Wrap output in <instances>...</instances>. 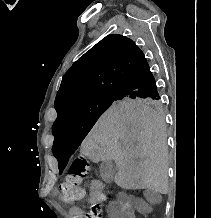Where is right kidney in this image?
Listing matches in <instances>:
<instances>
[{
	"mask_svg": "<svg viewBox=\"0 0 211 218\" xmlns=\"http://www.w3.org/2000/svg\"><path fill=\"white\" fill-rule=\"evenodd\" d=\"M116 198L120 201H112V206H108L109 217L111 218H136L132 215L133 211H137L135 202H141V197H131V193H116Z\"/></svg>",
	"mask_w": 211,
	"mask_h": 218,
	"instance_id": "right-kidney-1",
	"label": "right kidney"
}]
</instances>
